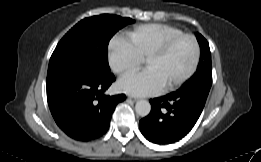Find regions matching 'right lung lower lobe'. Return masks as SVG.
Instances as JSON below:
<instances>
[{
	"label": "right lung lower lobe",
	"mask_w": 261,
	"mask_h": 162,
	"mask_svg": "<svg viewBox=\"0 0 261 162\" xmlns=\"http://www.w3.org/2000/svg\"><path fill=\"white\" fill-rule=\"evenodd\" d=\"M113 81L112 73L77 66L47 75V101L56 124L79 141L105 134L116 105L126 98L103 94Z\"/></svg>",
	"instance_id": "1"
}]
</instances>
